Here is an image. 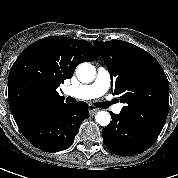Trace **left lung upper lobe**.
Returning <instances> with one entry per match:
<instances>
[{
  "label": "left lung upper lobe",
  "instance_id": "left-lung-upper-lobe-1",
  "mask_svg": "<svg viewBox=\"0 0 178 178\" xmlns=\"http://www.w3.org/2000/svg\"><path fill=\"white\" fill-rule=\"evenodd\" d=\"M111 75V90L125 103L121 112L162 130L169 112V82L159 62L125 41H94Z\"/></svg>",
  "mask_w": 178,
  "mask_h": 178
}]
</instances>
